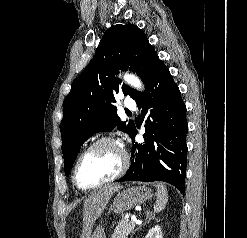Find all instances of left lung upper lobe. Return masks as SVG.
I'll return each mask as SVG.
<instances>
[{
    "mask_svg": "<svg viewBox=\"0 0 247 238\" xmlns=\"http://www.w3.org/2000/svg\"><path fill=\"white\" fill-rule=\"evenodd\" d=\"M161 60L146 35L133 24L112 25L103 35L96 54L84 71L73 81L63 102L61 122L62 153L65 174L70 171L83 143L93 134L115 127L131 136L135 124L120 121L115 93L122 91L136 100L142 93L121 85L115 75L136 72L145 87Z\"/></svg>",
    "mask_w": 247,
    "mask_h": 238,
    "instance_id": "obj_1",
    "label": "left lung upper lobe"
}]
</instances>
